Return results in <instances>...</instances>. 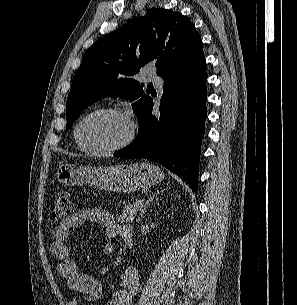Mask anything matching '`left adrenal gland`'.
<instances>
[{
  "label": "left adrenal gland",
  "mask_w": 297,
  "mask_h": 305,
  "mask_svg": "<svg viewBox=\"0 0 297 305\" xmlns=\"http://www.w3.org/2000/svg\"><path fill=\"white\" fill-rule=\"evenodd\" d=\"M169 189H161V190H157L152 196H150L148 198V200L146 201V204L142 210V212L140 213V216L138 217L137 221L139 222L141 217L143 216V214L146 212L148 206L150 205V203L154 200V198H156L158 195L163 194L165 191H168Z\"/></svg>",
  "instance_id": "a2214340"
}]
</instances>
